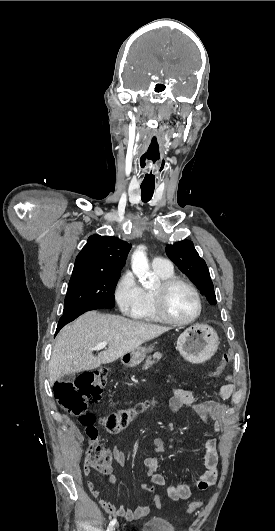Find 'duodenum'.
Wrapping results in <instances>:
<instances>
[{"label":"duodenum","instance_id":"1","mask_svg":"<svg viewBox=\"0 0 275 531\" xmlns=\"http://www.w3.org/2000/svg\"><path fill=\"white\" fill-rule=\"evenodd\" d=\"M121 361L124 363H129L131 361V358L129 356H123L121 358Z\"/></svg>","mask_w":275,"mask_h":531}]
</instances>
